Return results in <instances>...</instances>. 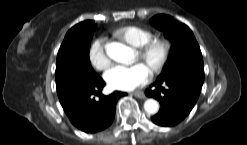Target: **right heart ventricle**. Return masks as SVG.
<instances>
[{
	"mask_svg": "<svg viewBox=\"0 0 247 145\" xmlns=\"http://www.w3.org/2000/svg\"><path fill=\"white\" fill-rule=\"evenodd\" d=\"M115 34L133 47H139L153 38V33L150 30L138 26L119 28Z\"/></svg>",
	"mask_w": 247,
	"mask_h": 145,
	"instance_id": "right-heart-ventricle-1",
	"label": "right heart ventricle"
}]
</instances>
